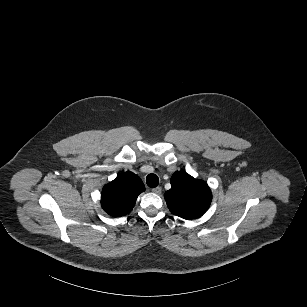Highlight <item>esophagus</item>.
<instances>
[{
  "label": "esophagus",
  "mask_w": 307,
  "mask_h": 307,
  "mask_svg": "<svg viewBox=\"0 0 307 307\" xmlns=\"http://www.w3.org/2000/svg\"><path fill=\"white\" fill-rule=\"evenodd\" d=\"M161 191H162V188H161V187H155V188L152 189V192H153L154 194H160Z\"/></svg>",
  "instance_id": "1"
}]
</instances>
